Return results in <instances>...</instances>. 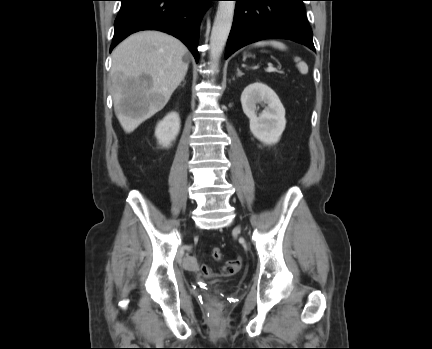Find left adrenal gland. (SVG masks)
I'll return each instance as SVG.
<instances>
[{"instance_id":"left-adrenal-gland-1","label":"left adrenal gland","mask_w":432,"mask_h":349,"mask_svg":"<svg viewBox=\"0 0 432 349\" xmlns=\"http://www.w3.org/2000/svg\"><path fill=\"white\" fill-rule=\"evenodd\" d=\"M243 75V73L240 71L239 68H237V77H241Z\"/></svg>"}]
</instances>
